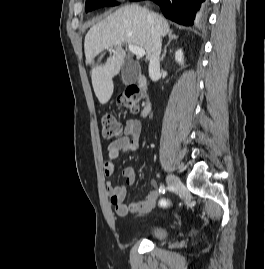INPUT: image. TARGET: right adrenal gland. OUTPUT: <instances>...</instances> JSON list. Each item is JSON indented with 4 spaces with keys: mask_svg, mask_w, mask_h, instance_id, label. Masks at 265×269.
<instances>
[{
    "mask_svg": "<svg viewBox=\"0 0 265 269\" xmlns=\"http://www.w3.org/2000/svg\"><path fill=\"white\" fill-rule=\"evenodd\" d=\"M168 43L165 45L164 47V51H163V54L161 56V61L164 60V57H165V54H166V50H167V47L169 46V44L171 43L172 40H177L178 39V36H176L173 31H169L168 32Z\"/></svg>",
    "mask_w": 265,
    "mask_h": 269,
    "instance_id": "right-adrenal-gland-1",
    "label": "right adrenal gland"
}]
</instances>
